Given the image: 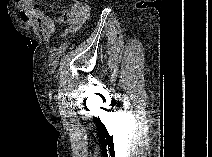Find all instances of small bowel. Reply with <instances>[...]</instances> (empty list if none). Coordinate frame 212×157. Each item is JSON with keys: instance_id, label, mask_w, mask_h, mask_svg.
<instances>
[{"instance_id": "small-bowel-1", "label": "small bowel", "mask_w": 212, "mask_h": 157, "mask_svg": "<svg viewBox=\"0 0 212 157\" xmlns=\"http://www.w3.org/2000/svg\"><path fill=\"white\" fill-rule=\"evenodd\" d=\"M18 14L25 24L37 25L44 39L49 41L59 24L68 26L65 34L77 29L89 17V9L85 4L77 3L60 15L51 16L46 10L32 6L27 0H19Z\"/></svg>"}]
</instances>
